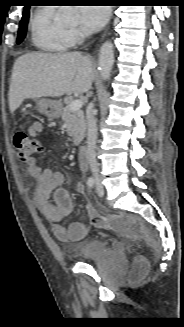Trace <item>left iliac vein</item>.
<instances>
[{"mask_svg": "<svg viewBox=\"0 0 184 327\" xmlns=\"http://www.w3.org/2000/svg\"><path fill=\"white\" fill-rule=\"evenodd\" d=\"M96 192L99 196H103V194H104L103 187L99 182H97V185H96Z\"/></svg>", "mask_w": 184, "mask_h": 327, "instance_id": "4c4485c4", "label": "left iliac vein"}]
</instances>
